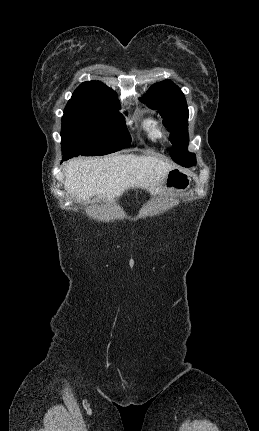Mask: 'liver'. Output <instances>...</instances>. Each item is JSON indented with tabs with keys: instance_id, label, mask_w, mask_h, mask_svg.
<instances>
[{
	"instance_id": "1",
	"label": "liver",
	"mask_w": 259,
	"mask_h": 431,
	"mask_svg": "<svg viewBox=\"0 0 259 431\" xmlns=\"http://www.w3.org/2000/svg\"><path fill=\"white\" fill-rule=\"evenodd\" d=\"M175 166L153 156L124 154L70 160L65 168V190L78 201L97 195L114 201L128 189L142 188L156 195Z\"/></svg>"
}]
</instances>
